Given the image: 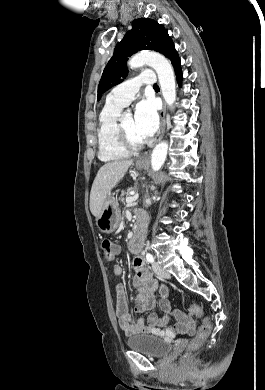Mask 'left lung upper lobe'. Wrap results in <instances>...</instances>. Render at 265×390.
Wrapping results in <instances>:
<instances>
[{
  "instance_id": "5c2ea615",
  "label": "left lung upper lobe",
  "mask_w": 265,
  "mask_h": 390,
  "mask_svg": "<svg viewBox=\"0 0 265 390\" xmlns=\"http://www.w3.org/2000/svg\"><path fill=\"white\" fill-rule=\"evenodd\" d=\"M141 50L157 51L171 61L178 54L167 30L161 24L148 18L134 20L132 29L116 45L114 54L103 71L98 85V99L106 90L123 81L121 78L128 73V57Z\"/></svg>"
}]
</instances>
